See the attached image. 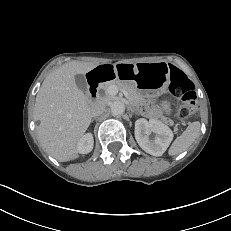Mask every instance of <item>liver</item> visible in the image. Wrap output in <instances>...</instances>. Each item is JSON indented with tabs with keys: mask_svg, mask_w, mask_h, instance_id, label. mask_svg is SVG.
I'll return each mask as SVG.
<instances>
[{
	"mask_svg": "<svg viewBox=\"0 0 231 231\" xmlns=\"http://www.w3.org/2000/svg\"><path fill=\"white\" fill-rule=\"evenodd\" d=\"M98 64L68 62L44 79L36 96L34 118L37 138L44 150L59 161L78 157V142L91 122V105L76 86L75 76L86 74Z\"/></svg>",
	"mask_w": 231,
	"mask_h": 231,
	"instance_id": "6515ba94",
	"label": "liver"
}]
</instances>
